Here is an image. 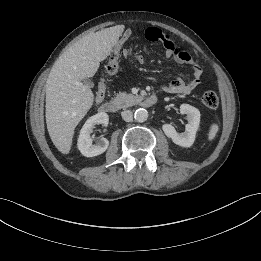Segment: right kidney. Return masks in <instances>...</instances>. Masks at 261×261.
Here are the masks:
<instances>
[{"label": "right kidney", "mask_w": 261, "mask_h": 261, "mask_svg": "<svg viewBox=\"0 0 261 261\" xmlns=\"http://www.w3.org/2000/svg\"><path fill=\"white\" fill-rule=\"evenodd\" d=\"M109 117L105 112H99L91 116L83 125L78 138L77 146L82 155L85 157H94L104 153L108 146L109 141L106 138H101L96 144H92L90 134L96 124H103L107 126Z\"/></svg>", "instance_id": "ca27d5eb"}]
</instances>
